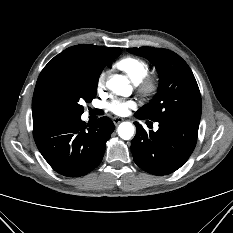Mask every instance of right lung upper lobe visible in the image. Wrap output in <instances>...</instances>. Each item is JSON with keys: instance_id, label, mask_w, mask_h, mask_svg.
<instances>
[{"instance_id": "1", "label": "right lung upper lobe", "mask_w": 233, "mask_h": 233, "mask_svg": "<svg viewBox=\"0 0 233 233\" xmlns=\"http://www.w3.org/2000/svg\"><path fill=\"white\" fill-rule=\"evenodd\" d=\"M108 51V47L89 44L76 45L55 56L44 67L38 77L32 101L34 128L60 118L49 99L51 83L55 76L66 67L94 63Z\"/></svg>"}]
</instances>
